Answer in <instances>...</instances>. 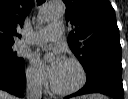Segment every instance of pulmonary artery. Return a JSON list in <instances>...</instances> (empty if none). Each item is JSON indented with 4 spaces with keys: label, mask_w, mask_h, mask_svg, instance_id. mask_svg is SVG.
<instances>
[{
    "label": "pulmonary artery",
    "mask_w": 128,
    "mask_h": 99,
    "mask_svg": "<svg viewBox=\"0 0 128 99\" xmlns=\"http://www.w3.org/2000/svg\"><path fill=\"white\" fill-rule=\"evenodd\" d=\"M64 28L61 23H53L39 31H36L30 38L31 43L42 44L55 42L63 35Z\"/></svg>",
    "instance_id": "e3ab8cb5"
}]
</instances>
